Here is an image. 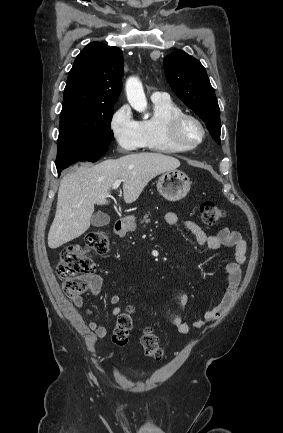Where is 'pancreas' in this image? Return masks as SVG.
I'll use <instances>...</instances> for the list:
<instances>
[{
  "label": "pancreas",
  "mask_w": 283,
  "mask_h": 433,
  "mask_svg": "<svg viewBox=\"0 0 283 433\" xmlns=\"http://www.w3.org/2000/svg\"><path fill=\"white\" fill-rule=\"evenodd\" d=\"M148 217H150V214H145V217L141 223H150V219H148Z\"/></svg>",
  "instance_id": "obj_1"
}]
</instances>
